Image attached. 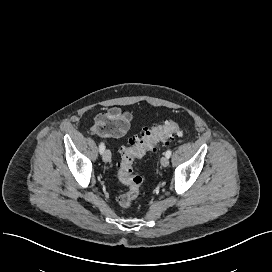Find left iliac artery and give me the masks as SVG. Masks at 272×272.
<instances>
[{
	"mask_svg": "<svg viewBox=\"0 0 272 272\" xmlns=\"http://www.w3.org/2000/svg\"><path fill=\"white\" fill-rule=\"evenodd\" d=\"M171 154H172L171 150H167L165 156L170 158Z\"/></svg>",
	"mask_w": 272,
	"mask_h": 272,
	"instance_id": "1",
	"label": "left iliac artery"
}]
</instances>
